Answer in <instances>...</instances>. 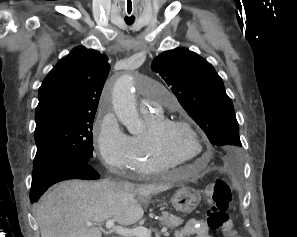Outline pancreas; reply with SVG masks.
Instances as JSON below:
<instances>
[{
    "label": "pancreas",
    "mask_w": 297,
    "mask_h": 237,
    "mask_svg": "<svg viewBox=\"0 0 297 237\" xmlns=\"http://www.w3.org/2000/svg\"><path fill=\"white\" fill-rule=\"evenodd\" d=\"M160 221L162 226H166L170 229L177 228L183 223V220L180 217L169 214L168 212H162Z\"/></svg>",
    "instance_id": "pancreas-1"
}]
</instances>
